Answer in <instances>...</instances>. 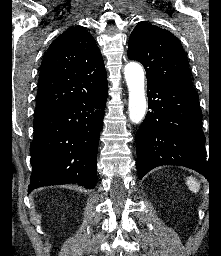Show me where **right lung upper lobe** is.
<instances>
[{
	"instance_id": "right-lung-upper-lobe-1",
	"label": "right lung upper lobe",
	"mask_w": 221,
	"mask_h": 256,
	"mask_svg": "<svg viewBox=\"0 0 221 256\" xmlns=\"http://www.w3.org/2000/svg\"><path fill=\"white\" fill-rule=\"evenodd\" d=\"M107 87L102 55L82 26L68 28L44 55L35 115H40Z\"/></svg>"
}]
</instances>
